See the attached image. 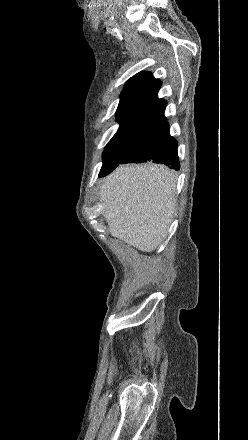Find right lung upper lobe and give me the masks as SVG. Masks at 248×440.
Listing matches in <instances>:
<instances>
[{
    "label": "right lung upper lobe",
    "mask_w": 248,
    "mask_h": 440,
    "mask_svg": "<svg viewBox=\"0 0 248 440\" xmlns=\"http://www.w3.org/2000/svg\"><path fill=\"white\" fill-rule=\"evenodd\" d=\"M160 87L161 82L149 72H140L126 82L116 112L120 127L115 135L134 131L165 110L166 101L157 96Z\"/></svg>",
    "instance_id": "right-lung-upper-lobe-1"
}]
</instances>
